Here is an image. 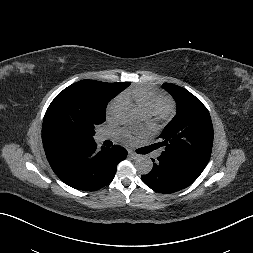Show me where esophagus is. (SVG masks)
I'll use <instances>...</instances> for the list:
<instances>
[{
  "mask_svg": "<svg viewBox=\"0 0 253 253\" xmlns=\"http://www.w3.org/2000/svg\"><path fill=\"white\" fill-rule=\"evenodd\" d=\"M128 155L132 158V159H137L140 157L139 154L133 152V151H128Z\"/></svg>",
  "mask_w": 253,
  "mask_h": 253,
  "instance_id": "1",
  "label": "esophagus"
}]
</instances>
